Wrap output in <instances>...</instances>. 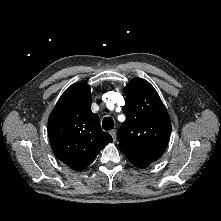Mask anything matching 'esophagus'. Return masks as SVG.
<instances>
[{
  "label": "esophagus",
  "mask_w": 221,
  "mask_h": 221,
  "mask_svg": "<svg viewBox=\"0 0 221 221\" xmlns=\"http://www.w3.org/2000/svg\"><path fill=\"white\" fill-rule=\"evenodd\" d=\"M109 133L112 136L113 140L115 141L116 140L117 131L115 129H112V130H110Z\"/></svg>",
  "instance_id": "34e87169"
}]
</instances>
